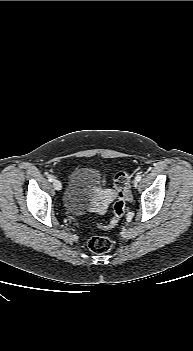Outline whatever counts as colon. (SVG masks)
Wrapping results in <instances>:
<instances>
[{"label": "colon", "mask_w": 193, "mask_h": 351, "mask_svg": "<svg viewBox=\"0 0 193 351\" xmlns=\"http://www.w3.org/2000/svg\"><path fill=\"white\" fill-rule=\"evenodd\" d=\"M131 174L128 172H119L114 178V195L116 196V202L114 204L113 217L110 222L96 224L100 230H108L116 226L124 215L125 210V198L129 191V182ZM113 246L112 240L107 236H92L88 240L89 249L98 254L108 252Z\"/></svg>", "instance_id": "obj_1"}]
</instances>
